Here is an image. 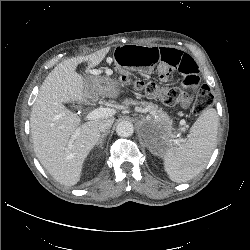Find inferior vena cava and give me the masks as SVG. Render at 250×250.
I'll return each mask as SVG.
<instances>
[{
  "mask_svg": "<svg viewBox=\"0 0 250 250\" xmlns=\"http://www.w3.org/2000/svg\"><path fill=\"white\" fill-rule=\"evenodd\" d=\"M113 122H114L113 118H109V119H105V120L101 121L99 124V131L103 132V133L108 132L110 130Z\"/></svg>",
  "mask_w": 250,
  "mask_h": 250,
  "instance_id": "602c4592",
  "label": "inferior vena cava"
}]
</instances>
